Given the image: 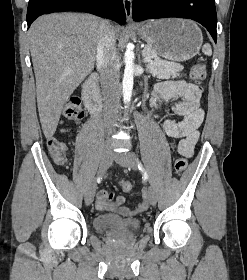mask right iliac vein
I'll list each match as a JSON object with an SVG mask.
<instances>
[{"label": "right iliac vein", "mask_w": 247, "mask_h": 280, "mask_svg": "<svg viewBox=\"0 0 247 280\" xmlns=\"http://www.w3.org/2000/svg\"><path fill=\"white\" fill-rule=\"evenodd\" d=\"M112 160H113V152H112L111 148L107 147L102 152L100 168H99V175L103 174L108 169V167L112 163ZM95 191H96V182L93 181L85 193L86 204L89 205L92 203V201L94 199Z\"/></svg>", "instance_id": "1"}]
</instances>
